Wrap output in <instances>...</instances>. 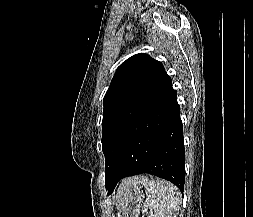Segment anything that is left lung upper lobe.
<instances>
[{
	"label": "left lung upper lobe",
	"instance_id": "1",
	"mask_svg": "<svg viewBox=\"0 0 253 217\" xmlns=\"http://www.w3.org/2000/svg\"><path fill=\"white\" fill-rule=\"evenodd\" d=\"M172 87L163 65L145 53L133 55L116 70L104 96L102 145L105 182L118 146L131 125Z\"/></svg>",
	"mask_w": 253,
	"mask_h": 217
}]
</instances>
